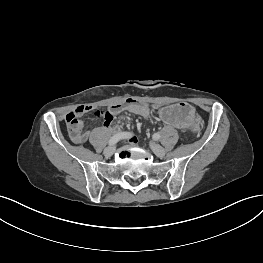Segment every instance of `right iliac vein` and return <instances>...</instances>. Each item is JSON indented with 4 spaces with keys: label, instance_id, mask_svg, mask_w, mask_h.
<instances>
[{
    "label": "right iliac vein",
    "instance_id": "obj_1",
    "mask_svg": "<svg viewBox=\"0 0 263 263\" xmlns=\"http://www.w3.org/2000/svg\"><path fill=\"white\" fill-rule=\"evenodd\" d=\"M114 152H115V146H108L104 150V155L110 157L114 154Z\"/></svg>",
    "mask_w": 263,
    "mask_h": 263
}]
</instances>
